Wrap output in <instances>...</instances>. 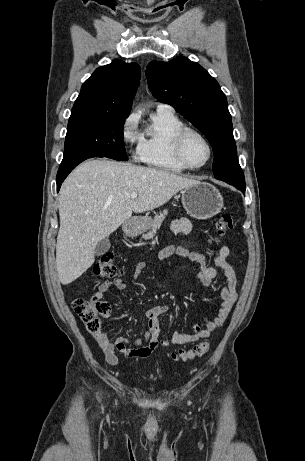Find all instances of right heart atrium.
I'll return each mask as SVG.
<instances>
[{
  "label": "right heart atrium",
  "instance_id": "right-heart-atrium-1",
  "mask_svg": "<svg viewBox=\"0 0 305 461\" xmlns=\"http://www.w3.org/2000/svg\"><path fill=\"white\" fill-rule=\"evenodd\" d=\"M137 118L134 115L129 116L122 129V138L125 144L131 145L138 140L136 133Z\"/></svg>",
  "mask_w": 305,
  "mask_h": 461
}]
</instances>
